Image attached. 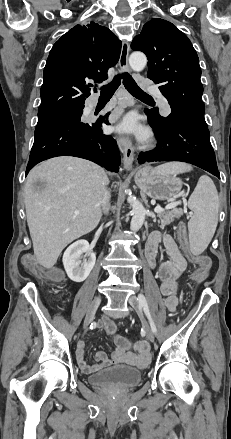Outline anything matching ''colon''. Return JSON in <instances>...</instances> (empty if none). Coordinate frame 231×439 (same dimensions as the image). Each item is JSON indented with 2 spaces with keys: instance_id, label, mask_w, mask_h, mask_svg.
<instances>
[{
  "instance_id": "5ec220e1",
  "label": "colon",
  "mask_w": 231,
  "mask_h": 439,
  "mask_svg": "<svg viewBox=\"0 0 231 439\" xmlns=\"http://www.w3.org/2000/svg\"><path fill=\"white\" fill-rule=\"evenodd\" d=\"M180 241L185 250L188 251V242H187V234L186 229L183 224L179 226L178 229ZM190 260L196 265V273L194 282L196 285H203L204 282L207 281L208 276L207 272L211 267V259L206 255H192L189 253ZM24 265L31 273L46 277L52 281H60L63 278V274L59 269H50L44 270L41 266H39L36 261L32 257H28L24 260Z\"/></svg>"
}]
</instances>
